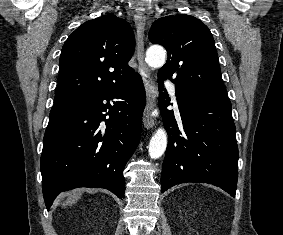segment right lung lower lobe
I'll return each mask as SVG.
<instances>
[{"mask_svg":"<svg viewBox=\"0 0 283 235\" xmlns=\"http://www.w3.org/2000/svg\"><path fill=\"white\" fill-rule=\"evenodd\" d=\"M113 99L117 101L110 103ZM145 102L137 74L49 119L40 161L47 209L60 192L77 187L105 188L124 198L123 169L140 140Z\"/></svg>","mask_w":283,"mask_h":235,"instance_id":"1","label":"right lung lower lobe"}]
</instances>
